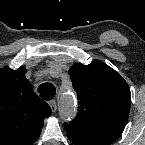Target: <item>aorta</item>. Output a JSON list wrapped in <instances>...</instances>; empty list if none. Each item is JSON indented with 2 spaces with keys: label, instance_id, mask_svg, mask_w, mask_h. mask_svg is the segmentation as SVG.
Segmentation results:
<instances>
[{
  "label": "aorta",
  "instance_id": "1",
  "mask_svg": "<svg viewBox=\"0 0 145 145\" xmlns=\"http://www.w3.org/2000/svg\"><path fill=\"white\" fill-rule=\"evenodd\" d=\"M59 113L64 121L71 120L76 115L74 100L70 95H63L59 100Z\"/></svg>",
  "mask_w": 145,
  "mask_h": 145
}]
</instances>
